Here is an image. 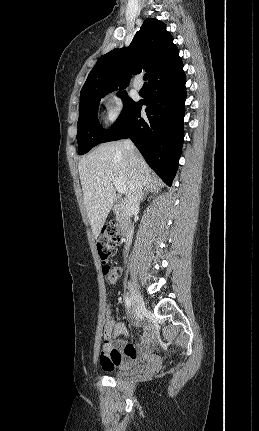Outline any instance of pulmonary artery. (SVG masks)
<instances>
[{
  "label": "pulmonary artery",
  "instance_id": "e3ab8cb5",
  "mask_svg": "<svg viewBox=\"0 0 259 431\" xmlns=\"http://www.w3.org/2000/svg\"><path fill=\"white\" fill-rule=\"evenodd\" d=\"M134 88L136 89V90H141L142 89V87H143V83H142V81H141V79L138 77L137 79H135V81H134Z\"/></svg>",
  "mask_w": 259,
  "mask_h": 431
}]
</instances>
